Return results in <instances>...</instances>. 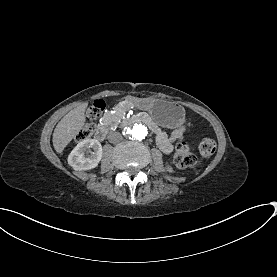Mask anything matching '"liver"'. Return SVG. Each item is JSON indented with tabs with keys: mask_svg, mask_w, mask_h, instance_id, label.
Returning <instances> with one entry per match:
<instances>
[{
	"mask_svg": "<svg viewBox=\"0 0 277 277\" xmlns=\"http://www.w3.org/2000/svg\"><path fill=\"white\" fill-rule=\"evenodd\" d=\"M88 103H82L69 111L57 124L53 133V146L57 153H62L70 141L78 135L85 124V110Z\"/></svg>",
	"mask_w": 277,
	"mask_h": 277,
	"instance_id": "6515ba94",
	"label": "liver"
}]
</instances>
